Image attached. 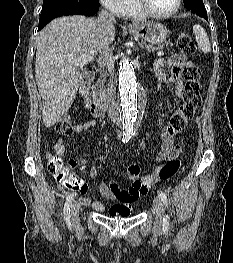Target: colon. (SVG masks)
I'll return each instance as SVG.
<instances>
[{
	"label": "colon",
	"instance_id": "1",
	"mask_svg": "<svg viewBox=\"0 0 233 263\" xmlns=\"http://www.w3.org/2000/svg\"><path fill=\"white\" fill-rule=\"evenodd\" d=\"M177 44L181 51L187 55L196 53V46L188 33H181L177 37ZM185 81L183 104L171 116L170 126L172 132H181L188 121L191 120L202 104L201 98V71L193 63L187 64L182 71ZM73 119L70 115H64L57 123L56 130L61 134H69L72 131ZM73 163L64 162L58 156L48 157V170L58 182L64 183V189H78L80 195H89L90 188L81 183L80 171H71ZM180 161L171 159L162 165L155 173L157 181L167 180L173 177L179 170Z\"/></svg>",
	"mask_w": 233,
	"mask_h": 263
}]
</instances>
